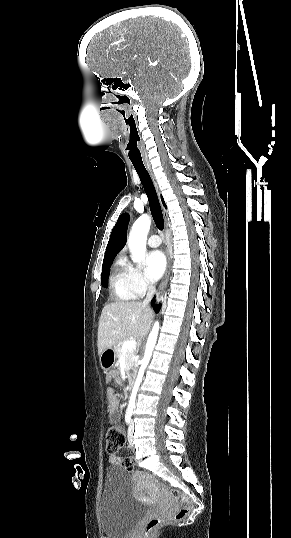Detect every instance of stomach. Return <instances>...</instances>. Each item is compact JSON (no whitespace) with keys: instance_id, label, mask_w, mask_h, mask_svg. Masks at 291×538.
I'll return each instance as SVG.
<instances>
[{"instance_id":"stomach-1","label":"stomach","mask_w":291,"mask_h":538,"mask_svg":"<svg viewBox=\"0 0 291 538\" xmlns=\"http://www.w3.org/2000/svg\"><path fill=\"white\" fill-rule=\"evenodd\" d=\"M117 355L114 348L105 349L100 355V364L104 369L112 368L116 362Z\"/></svg>"}]
</instances>
